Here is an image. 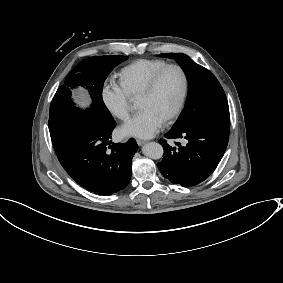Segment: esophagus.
Masks as SVG:
<instances>
[{"label":"esophagus","instance_id":"1","mask_svg":"<svg viewBox=\"0 0 283 283\" xmlns=\"http://www.w3.org/2000/svg\"><path fill=\"white\" fill-rule=\"evenodd\" d=\"M137 144L139 146H143L144 144H146V141L145 140H141V139H137Z\"/></svg>","mask_w":283,"mask_h":283}]
</instances>
